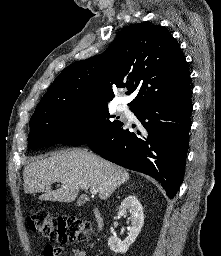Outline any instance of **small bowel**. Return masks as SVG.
Wrapping results in <instances>:
<instances>
[{"instance_id":"1","label":"small bowel","mask_w":221,"mask_h":256,"mask_svg":"<svg viewBox=\"0 0 221 256\" xmlns=\"http://www.w3.org/2000/svg\"><path fill=\"white\" fill-rule=\"evenodd\" d=\"M72 255L73 256H86V253L83 249L74 248V249H72ZM44 256H56V255L47 252L46 249H45L44 250Z\"/></svg>"}]
</instances>
